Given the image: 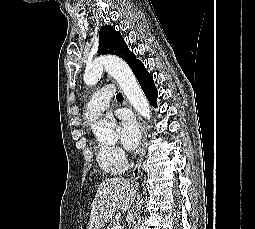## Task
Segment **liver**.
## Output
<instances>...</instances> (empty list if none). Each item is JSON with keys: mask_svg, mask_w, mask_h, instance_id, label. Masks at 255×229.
Masks as SVG:
<instances>
[{"mask_svg": "<svg viewBox=\"0 0 255 229\" xmlns=\"http://www.w3.org/2000/svg\"><path fill=\"white\" fill-rule=\"evenodd\" d=\"M135 196V187L127 179L113 177L102 181L92 202L87 229H101L118 210H129Z\"/></svg>", "mask_w": 255, "mask_h": 229, "instance_id": "6515ba94", "label": "liver"}]
</instances>
